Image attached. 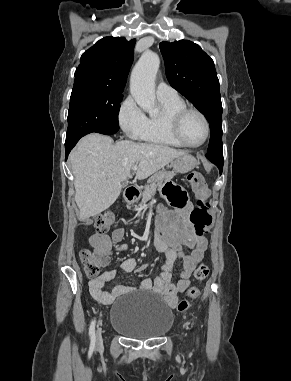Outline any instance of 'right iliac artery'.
Segmentation results:
<instances>
[{
  "label": "right iliac artery",
  "instance_id": "82829eb1",
  "mask_svg": "<svg viewBox=\"0 0 291 381\" xmlns=\"http://www.w3.org/2000/svg\"><path fill=\"white\" fill-rule=\"evenodd\" d=\"M89 336L91 338V347L94 348L95 345V320L91 322L89 329Z\"/></svg>",
  "mask_w": 291,
  "mask_h": 381
}]
</instances>
